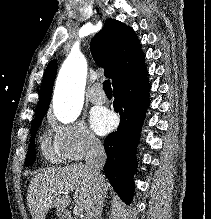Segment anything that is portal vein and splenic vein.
<instances>
[{"label": "portal vein and splenic vein", "instance_id": "1", "mask_svg": "<svg viewBox=\"0 0 211 219\" xmlns=\"http://www.w3.org/2000/svg\"><path fill=\"white\" fill-rule=\"evenodd\" d=\"M82 212V209L78 208L77 206L74 207L73 213L75 215H79Z\"/></svg>", "mask_w": 211, "mask_h": 219}]
</instances>
